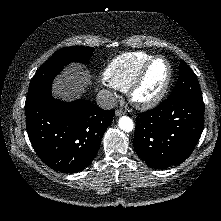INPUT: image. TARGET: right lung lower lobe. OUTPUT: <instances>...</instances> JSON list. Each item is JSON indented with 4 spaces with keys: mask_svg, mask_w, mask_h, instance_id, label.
I'll return each instance as SVG.
<instances>
[{
    "mask_svg": "<svg viewBox=\"0 0 221 221\" xmlns=\"http://www.w3.org/2000/svg\"><path fill=\"white\" fill-rule=\"evenodd\" d=\"M52 82L26 99V128L40 159L55 171L76 173L92 162L114 110H102L87 100L66 103L54 99Z\"/></svg>",
    "mask_w": 221,
    "mask_h": 221,
    "instance_id": "right-lung-lower-lobe-1",
    "label": "right lung lower lobe"
}]
</instances>
